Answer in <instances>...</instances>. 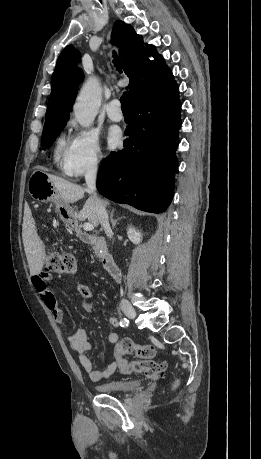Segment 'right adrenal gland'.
<instances>
[{"label": "right adrenal gland", "instance_id": "2a0ac1e0", "mask_svg": "<svg viewBox=\"0 0 261 459\" xmlns=\"http://www.w3.org/2000/svg\"><path fill=\"white\" fill-rule=\"evenodd\" d=\"M122 218H126V217H121V218H118V219H114V211H112V212L110 213V221H111V224H112V228H113V229L115 228L117 222H118L119 220H121Z\"/></svg>", "mask_w": 261, "mask_h": 459}]
</instances>
